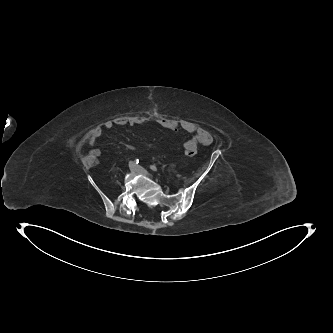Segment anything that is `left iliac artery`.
Instances as JSON below:
<instances>
[{"mask_svg": "<svg viewBox=\"0 0 333 333\" xmlns=\"http://www.w3.org/2000/svg\"><path fill=\"white\" fill-rule=\"evenodd\" d=\"M150 168H151V170H153V171H155V172L158 170L157 167H156L155 165H151Z\"/></svg>", "mask_w": 333, "mask_h": 333, "instance_id": "44dca946", "label": "left iliac artery"}]
</instances>
